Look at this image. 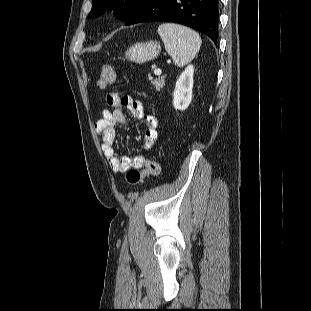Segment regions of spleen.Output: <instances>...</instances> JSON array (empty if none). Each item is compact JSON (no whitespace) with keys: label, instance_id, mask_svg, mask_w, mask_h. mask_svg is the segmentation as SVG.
<instances>
[{"label":"spleen","instance_id":"3e777b00","mask_svg":"<svg viewBox=\"0 0 311 311\" xmlns=\"http://www.w3.org/2000/svg\"><path fill=\"white\" fill-rule=\"evenodd\" d=\"M158 34L166 51L178 67L188 64L195 57L202 43L197 32L174 23L161 24L158 27Z\"/></svg>","mask_w":311,"mask_h":311}]
</instances>
